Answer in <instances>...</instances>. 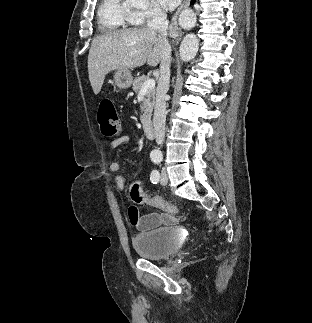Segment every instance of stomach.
Instances as JSON below:
<instances>
[{
	"instance_id": "0dacf381",
	"label": "stomach",
	"mask_w": 312,
	"mask_h": 323,
	"mask_svg": "<svg viewBox=\"0 0 312 323\" xmlns=\"http://www.w3.org/2000/svg\"><path fill=\"white\" fill-rule=\"evenodd\" d=\"M114 80L116 86H118L120 90H126V88H130L133 82V76L130 70H127V68H122V70H116Z\"/></svg>"
}]
</instances>
